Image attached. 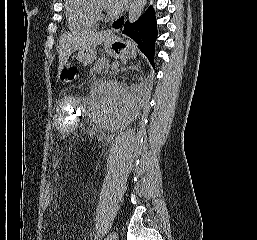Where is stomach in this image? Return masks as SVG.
Wrapping results in <instances>:
<instances>
[{
    "instance_id": "1",
    "label": "stomach",
    "mask_w": 257,
    "mask_h": 240,
    "mask_svg": "<svg viewBox=\"0 0 257 240\" xmlns=\"http://www.w3.org/2000/svg\"><path fill=\"white\" fill-rule=\"evenodd\" d=\"M131 44L128 41L115 36L112 32L109 33L108 37L105 40V48L107 52L116 57L122 58L127 56L129 53ZM96 58L95 49H81L78 51L77 59L84 65L87 66L91 64Z\"/></svg>"
}]
</instances>
